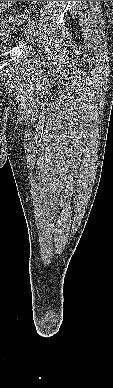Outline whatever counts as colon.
Returning <instances> with one entry per match:
<instances>
[{
    "instance_id": "colon-1",
    "label": "colon",
    "mask_w": 113,
    "mask_h": 388,
    "mask_svg": "<svg viewBox=\"0 0 113 388\" xmlns=\"http://www.w3.org/2000/svg\"><path fill=\"white\" fill-rule=\"evenodd\" d=\"M38 1H31L33 5H35ZM29 10L25 9L23 12L19 14L12 15L5 19L3 22V27L7 28L9 26H15L21 24L27 17Z\"/></svg>"
}]
</instances>
